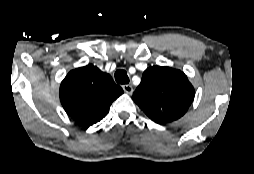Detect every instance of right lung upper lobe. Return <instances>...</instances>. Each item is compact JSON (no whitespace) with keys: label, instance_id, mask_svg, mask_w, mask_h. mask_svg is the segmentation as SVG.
Wrapping results in <instances>:
<instances>
[{"label":"right lung upper lobe","instance_id":"obj_1","mask_svg":"<svg viewBox=\"0 0 254 174\" xmlns=\"http://www.w3.org/2000/svg\"><path fill=\"white\" fill-rule=\"evenodd\" d=\"M123 90L94 65L70 71L60 85V101L76 122L90 126L103 119Z\"/></svg>","mask_w":254,"mask_h":174}]
</instances>
